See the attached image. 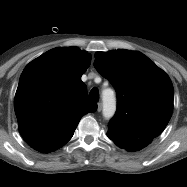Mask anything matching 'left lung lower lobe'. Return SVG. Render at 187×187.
Instances as JSON below:
<instances>
[{
  "label": "left lung lower lobe",
  "instance_id": "0a47b994",
  "mask_svg": "<svg viewBox=\"0 0 187 187\" xmlns=\"http://www.w3.org/2000/svg\"><path fill=\"white\" fill-rule=\"evenodd\" d=\"M109 136V135H108ZM109 138L110 139H112L113 141H114V143L117 145V146H119V147H121V148H125L126 150H128V151H136V150H131V149H129V148H127V147H124L123 145H122V140H124L125 138H122V137H110L109 136Z\"/></svg>",
  "mask_w": 187,
  "mask_h": 187
}]
</instances>
